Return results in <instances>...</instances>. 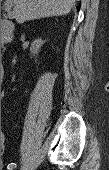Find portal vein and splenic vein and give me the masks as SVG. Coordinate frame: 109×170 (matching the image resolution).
<instances>
[{"mask_svg":"<svg viewBox=\"0 0 109 170\" xmlns=\"http://www.w3.org/2000/svg\"><path fill=\"white\" fill-rule=\"evenodd\" d=\"M6 10H7V16H8V18L13 19V18L15 17V14H14V12L11 10V7H7Z\"/></svg>","mask_w":109,"mask_h":170,"instance_id":"18ae733b","label":"portal vein and splenic vein"}]
</instances>
